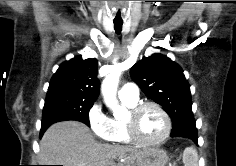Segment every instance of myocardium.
I'll list each match as a JSON object with an SVG mask.
<instances>
[{
  "label": "myocardium",
  "mask_w": 236,
  "mask_h": 166,
  "mask_svg": "<svg viewBox=\"0 0 236 166\" xmlns=\"http://www.w3.org/2000/svg\"><path fill=\"white\" fill-rule=\"evenodd\" d=\"M155 108L156 110H158V112L162 115L164 122H165V130L163 135L155 140V141H144L142 140L137 132L136 129V120L139 116V114L145 110L146 108ZM124 124L127 130V133L131 139V141L138 145V146H142V147H155L158 146L160 144H162L170 135V131H171V119L168 115V113L165 111V109L158 104L157 102H153V101H147V102H142L137 104L136 106H134L133 108H131L129 110L128 116L127 118L124 120Z\"/></svg>",
  "instance_id": "f54148a6"
}]
</instances>
